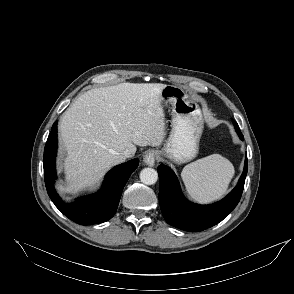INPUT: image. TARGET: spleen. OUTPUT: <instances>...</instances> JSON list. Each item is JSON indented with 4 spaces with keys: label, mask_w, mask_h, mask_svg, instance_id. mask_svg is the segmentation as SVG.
Listing matches in <instances>:
<instances>
[{
    "label": "spleen",
    "mask_w": 294,
    "mask_h": 294,
    "mask_svg": "<svg viewBox=\"0 0 294 294\" xmlns=\"http://www.w3.org/2000/svg\"><path fill=\"white\" fill-rule=\"evenodd\" d=\"M234 176L231 162L220 154H212L186 165L181 177L189 195L200 203L222 197Z\"/></svg>",
    "instance_id": "spleen-1"
}]
</instances>
